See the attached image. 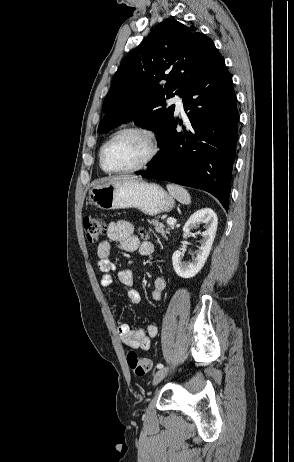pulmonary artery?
<instances>
[{
    "mask_svg": "<svg viewBox=\"0 0 294 462\" xmlns=\"http://www.w3.org/2000/svg\"><path fill=\"white\" fill-rule=\"evenodd\" d=\"M169 102H170L171 104H174V105H175L176 111H177L178 113H182V112L184 111L183 98H182L181 95H175V96H173V97L169 100Z\"/></svg>",
    "mask_w": 294,
    "mask_h": 462,
    "instance_id": "pulmonary-artery-1",
    "label": "pulmonary artery"
}]
</instances>
